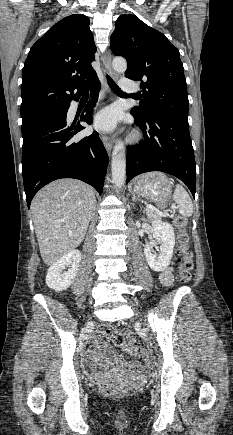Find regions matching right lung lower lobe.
Returning <instances> with one entry per match:
<instances>
[{
    "instance_id": "1",
    "label": "right lung lower lobe",
    "mask_w": 233,
    "mask_h": 435,
    "mask_svg": "<svg viewBox=\"0 0 233 435\" xmlns=\"http://www.w3.org/2000/svg\"><path fill=\"white\" fill-rule=\"evenodd\" d=\"M90 85L92 96H96L100 90L98 77ZM95 103L87 105L86 114L80 121L92 124L91 113ZM66 115L67 111L22 126V172L28 208L39 189L60 178L82 180L92 185L99 194L102 193L109 161L104 145L96 131L78 142H72L71 138L84 127L79 121L70 126Z\"/></svg>"
}]
</instances>
